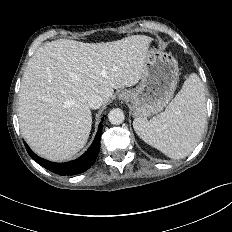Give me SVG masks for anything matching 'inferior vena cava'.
I'll list each match as a JSON object with an SVG mask.
<instances>
[{
  "label": "inferior vena cava",
  "mask_w": 232,
  "mask_h": 232,
  "mask_svg": "<svg viewBox=\"0 0 232 232\" xmlns=\"http://www.w3.org/2000/svg\"><path fill=\"white\" fill-rule=\"evenodd\" d=\"M88 106L92 109H98L103 104V98L102 96L98 94H93L87 101Z\"/></svg>",
  "instance_id": "602c4592"
}]
</instances>
